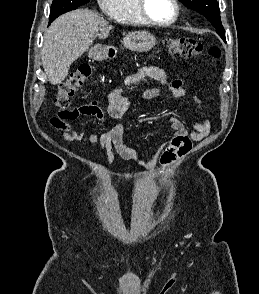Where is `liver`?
<instances>
[{
	"instance_id": "1",
	"label": "liver",
	"mask_w": 259,
	"mask_h": 294,
	"mask_svg": "<svg viewBox=\"0 0 259 294\" xmlns=\"http://www.w3.org/2000/svg\"><path fill=\"white\" fill-rule=\"evenodd\" d=\"M112 26L89 9H78L57 18L44 33L42 64L52 85L60 84L71 64L88 51L93 40L106 38Z\"/></svg>"
}]
</instances>
